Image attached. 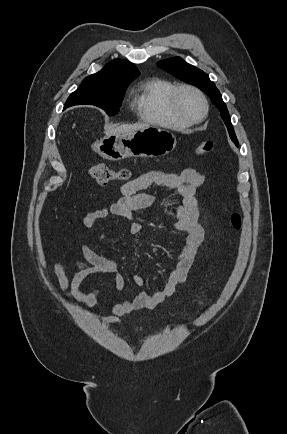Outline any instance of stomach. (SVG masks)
<instances>
[{
  "label": "stomach",
  "instance_id": "0dacf381",
  "mask_svg": "<svg viewBox=\"0 0 287 434\" xmlns=\"http://www.w3.org/2000/svg\"><path fill=\"white\" fill-rule=\"evenodd\" d=\"M176 137L170 131L148 126L132 134L106 135L93 145L104 159L118 161L128 157H156L172 152Z\"/></svg>",
  "mask_w": 287,
  "mask_h": 434
}]
</instances>
